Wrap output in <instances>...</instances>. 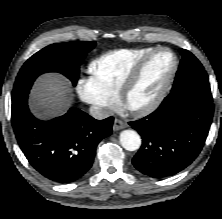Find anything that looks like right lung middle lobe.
Segmentation results:
<instances>
[{
  "label": "right lung middle lobe",
  "mask_w": 222,
  "mask_h": 219,
  "mask_svg": "<svg viewBox=\"0 0 222 219\" xmlns=\"http://www.w3.org/2000/svg\"><path fill=\"white\" fill-rule=\"evenodd\" d=\"M95 42L75 41L51 44L29 58L16 78L12 101L28 96L34 80L45 72H60L75 85L79 66Z\"/></svg>",
  "instance_id": "obj_1"
}]
</instances>
